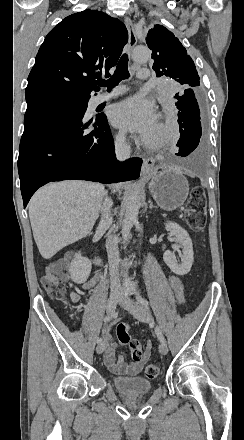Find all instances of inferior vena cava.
<instances>
[{"instance_id": "inferior-vena-cava-1", "label": "inferior vena cava", "mask_w": 244, "mask_h": 440, "mask_svg": "<svg viewBox=\"0 0 244 440\" xmlns=\"http://www.w3.org/2000/svg\"><path fill=\"white\" fill-rule=\"evenodd\" d=\"M130 146L126 144L125 134H118L115 140V152L118 160H128L130 158ZM112 206L111 200L105 198L102 206V218L98 226V230H108L112 224L110 208ZM106 250L108 254L109 270H110V284L111 294H121V284L119 280V250L118 242L114 236H109L106 240Z\"/></svg>"}]
</instances>
